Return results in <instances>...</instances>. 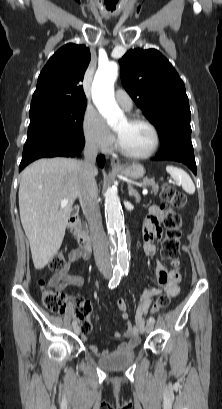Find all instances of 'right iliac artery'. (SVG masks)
<instances>
[{"mask_svg":"<svg viewBox=\"0 0 222 409\" xmlns=\"http://www.w3.org/2000/svg\"><path fill=\"white\" fill-rule=\"evenodd\" d=\"M121 276H122V271H117V272L113 273V277L110 280L108 287L111 288V289L117 287V285L119 284V282L121 280ZM72 325L76 326L77 321L73 320Z\"/></svg>","mask_w":222,"mask_h":409,"instance_id":"1","label":"right iliac artery"}]
</instances>
